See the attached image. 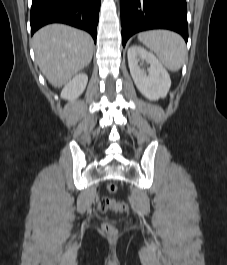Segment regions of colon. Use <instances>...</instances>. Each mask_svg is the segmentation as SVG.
I'll return each instance as SVG.
<instances>
[{
    "label": "colon",
    "mask_w": 227,
    "mask_h": 265,
    "mask_svg": "<svg viewBox=\"0 0 227 265\" xmlns=\"http://www.w3.org/2000/svg\"><path fill=\"white\" fill-rule=\"evenodd\" d=\"M107 191L111 194H114L117 192V185L115 183H108L107 186ZM99 210L103 213L109 211V210H114L119 213H127L128 212V205L124 202H116L114 200H111L109 198H102L99 201L98 204ZM102 230L110 235H113L116 233L115 227L110 224V223H104L102 225Z\"/></svg>",
    "instance_id": "1"
}]
</instances>
